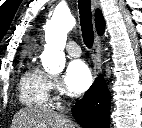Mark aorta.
Returning a JSON list of instances; mask_svg holds the SVG:
<instances>
[{
	"label": "aorta",
	"mask_w": 142,
	"mask_h": 128,
	"mask_svg": "<svg viewBox=\"0 0 142 128\" xmlns=\"http://www.w3.org/2000/svg\"><path fill=\"white\" fill-rule=\"evenodd\" d=\"M76 24L70 12L55 11L45 28V49L42 65L47 72L60 73L65 66L64 48L67 34Z\"/></svg>",
	"instance_id": "aorta-1"
}]
</instances>
